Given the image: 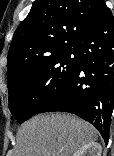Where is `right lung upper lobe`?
<instances>
[{
  "label": "right lung upper lobe",
  "instance_id": "cb5924a9",
  "mask_svg": "<svg viewBox=\"0 0 114 156\" xmlns=\"http://www.w3.org/2000/svg\"><path fill=\"white\" fill-rule=\"evenodd\" d=\"M102 0H35L8 52L7 86L42 61L75 48L106 12Z\"/></svg>",
  "mask_w": 114,
  "mask_h": 156
}]
</instances>
